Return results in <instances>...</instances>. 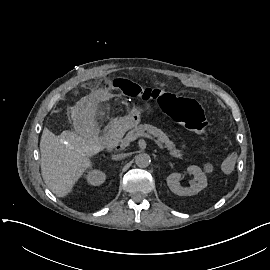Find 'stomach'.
<instances>
[{
  "instance_id": "0dacf381",
  "label": "stomach",
  "mask_w": 270,
  "mask_h": 270,
  "mask_svg": "<svg viewBox=\"0 0 270 270\" xmlns=\"http://www.w3.org/2000/svg\"><path fill=\"white\" fill-rule=\"evenodd\" d=\"M147 109L149 110L150 108L147 106ZM141 112L142 109L133 107L122 120L123 128L130 129L139 124L141 121Z\"/></svg>"
}]
</instances>
